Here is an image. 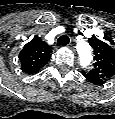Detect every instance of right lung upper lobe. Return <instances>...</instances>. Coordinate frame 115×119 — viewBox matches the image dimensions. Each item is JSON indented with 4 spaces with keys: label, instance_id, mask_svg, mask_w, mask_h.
<instances>
[{
    "label": "right lung upper lobe",
    "instance_id": "1",
    "mask_svg": "<svg viewBox=\"0 0 115 119\" xmlns=\"http://www.w3.org/2000/svg\"><path fill=\"white\" fill-rule=\"evenodd\" d=\"M51 52V47L35 36L19 54L22 71L27 74L37 73L49 61Z\"/></svg>",
    "mask_w": 115,
    "mask_h": 119
}]
</instances>
